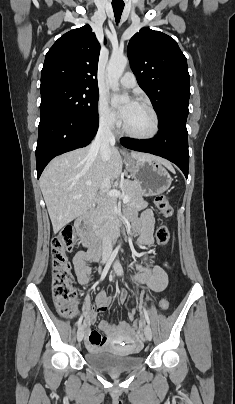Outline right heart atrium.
Instances as JSON below:
<instances>
[{
  "label": "right heart atrium",
  "mask_w": 235,
  "mask_h": 404,
  "mask_svg": "<svg viewBox=\"0 0 235 404\" xmlns=\"http://www.w3.org/2000/svg\"><path fill=\"white\" fill-rule=\"evenodd\" d=\"M97 118L99 125L107 131H114L119 126L117 114L104 96H100L97 101Z\"/></svg>",
  "instance_id": "d8ad5b80"
}]
</instances>
